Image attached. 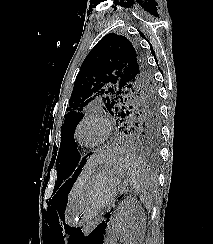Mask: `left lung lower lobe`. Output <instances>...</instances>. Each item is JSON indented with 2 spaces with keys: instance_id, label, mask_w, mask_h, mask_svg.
<instances>
[{
  "instance_id": "left-lung-lower-lobe-1",
  "label": "left lung lower lobe",
  "mask_w": 213,
  "mask_h": 244,
  "mask_svg": "<svg viewBox=\"0 0 213 244\" xmlns=\"http://www.w3.org/2000/svg\"><path fill=\"white\" fill-rule=\"evenodd\" d=\"M120 131L123 132L125 135H127L129 138L133 140V142L137 143L140 146H143L144 149H146L151 154L157 153V143H158V134L154 136H145L143 132H138L136 129L132 126H129V124H121ZM90 154L81 157L78 156L77 160L75 161L71 173H73L72 177L69 179V181H72V183L76 180L77 176L79 175L82 167L85 165L87 161V157Z\"/></svg>"
}]
</instances>
